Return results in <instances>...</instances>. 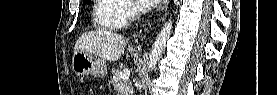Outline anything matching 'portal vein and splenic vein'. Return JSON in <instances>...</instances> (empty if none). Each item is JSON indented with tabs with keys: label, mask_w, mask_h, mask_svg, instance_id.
Segmentation results:
<instances>
[{
	"label": "portal vein and splenic vein",
	"mask_w": 277,
	"mask_h": 95,
	"mask_svg": "<svg viewBox=\"0 0 277 95\" xmlns=\"http://www.w3.org/2000/svg\"><path fill=\"white\" fill-rule=\"evenodd\" d=\"M130 77V71L127 69H124L122 71L119 72V78L120 79H129Z\"/></svg>",
	"instance_id": "obj_1"
}]
</instances>
